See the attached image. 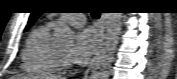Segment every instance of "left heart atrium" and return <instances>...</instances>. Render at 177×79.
I'll return each mask as SVG.
<instances>
[{
  "instance_id": "39dd6f15",
  "label": "left heart atrium",
  "mask_w": 177,
  "mask_h": 79,
  "mask_svg": "<svg viewBox=\"0 0 177 79\" xmlns=\"http://www.w3.org/2000/svg\"><path fill=\"white\" fill-rule=\"evenodd\" d=\"M98 44V35L92 28L81 29L76 36L74 47L70 51L71 60L83 63L94 53Z\"/></svg>"
}]
</instances>
